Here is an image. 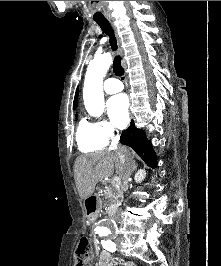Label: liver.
Listing matches in <instances>:
<instances>
[{
  "label": "liver",
  "instance_id": "6515ba94",
  "mask_svg": "<svg viewBox=\"0 0 221 266\" xmlns=\"http://www.w3.org/2000/svg\"><path fill=\"white\" fill-rule=\"evenodd\" d=\"M126 150L131 156L130 151ZM115 173L123 179L124 165L121 162L118 150L105 149L91 154L79 156L74 164V179L81 199L86 200L92 194L96 184Z\"/></svg>",
  "mask_w": 221,
  "mask_h": 266
}]
</instances>
